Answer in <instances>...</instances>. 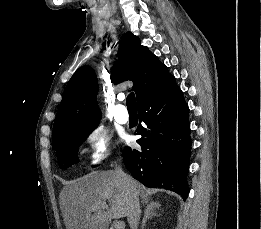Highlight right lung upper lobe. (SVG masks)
<instances>
[{"mask_svg": "<svg viewBox=\"0 0 261 229\" xmlns=\"http://www.w3.org/2000/svg\"><path fill=\"white\" fill-rule=\"evenodd\" d=\"M112 74L116 83L124 80L134 82L137 103L172 76L167 67L146 46L141 45L140 39L131 32L122 37L120 59ZM97 89V78L90 66L80 67L71 77L54 121L53 149L63 143L64 128L99 123L101 114L96 102Z\"/></svg>", "mask_w": 261, "mask_h": 229, "instance_id": "cb5924a9", "label": "right lung upper lobe"}]
</instances>
